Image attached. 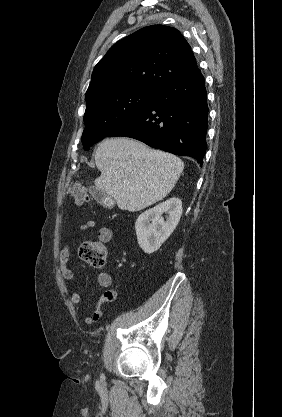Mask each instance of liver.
I'll use <instances>...</instances> for the list:
<instances>
[{
  "label": "liver",
  "mask_w": 282,
  "mask_h": 417,
  "mask_svg": "<svg viewBox=\"0 0 282 417\" xmlns=\"http://www.w3.org/2000/svg\"><path fill=\"white\" fill-rule=\"evenodd\" d=\"M95 164L101 170L95 186L113 196L121 211L131 213L162 200L184 168L175 154L153 150L127 136L102 140Z\"/></svg>",
  "instance_id": "liver-1"
}]
</instances>
